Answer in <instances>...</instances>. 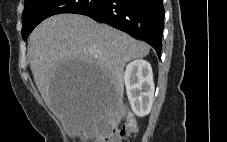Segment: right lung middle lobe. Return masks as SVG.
Instances as JSON below:
<instances>
[{"instance_id": "1", "label": "right lung middle lobe", "mask_w": 227, "mask_h": 142, "mask_svg": "<svg viewBox=\"0 0 227 142\" xmlns=\"http://www.w3.org/2000/svg\"><path fill=\"white\" fill-rule=\"evenodd\" d=\"M105 0H28L22 14V37L26 41L32 30L44 19L59 13H79L102 5Z\"/></svg>"}]
</instances>
